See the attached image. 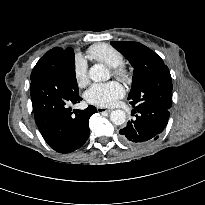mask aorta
Masks as SVG:
<instances>
[{"mask_svg": "<svg viewBox=\"0 0 205 205\" xmlns=\"http://www.w3.org/2000/svg\"><path fill=\"white\" fill-rule=\"evenodd\" d=\"M89 78L94 82L107 81L110 78L109 70L102 64H95L89 69ZM110 120L115 125H122L126 121L123 110L117 109L111 112Z\"/></svg>", "mask_w": 205, "mask_h": 205, "instance_id": "762f6f07", "label": "aorta"}]
</instances>
